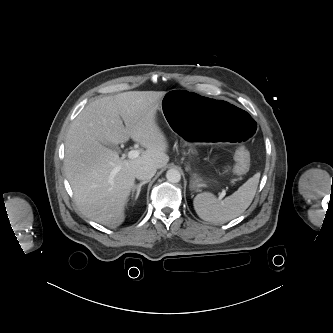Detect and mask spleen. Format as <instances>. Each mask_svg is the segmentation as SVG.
Here are the masks:
<instances>
[{
	"mask_svg": "<svg viewBox=\"0 0 333 333\" xmlns=\"http://www.w3.org/2000/svg\"><path fill=\"white\" fill-rule=\"evenodd\" d=\"M260 173L255 174L232 195L220 201L208 192L198 194L193 205L197 215L204 221L226 223L241 215L251 204L258 186Z\"/></svg>",
	"mask_w": 333,
	"mask_h": 333,
	"instance_id": "obj_1",
	"label": "spleen"
}]
</instances>
